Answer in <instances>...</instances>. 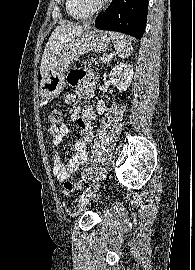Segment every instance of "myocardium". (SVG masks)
Masks as SVG:
<instances>
[{
	"label": "myocardium",
	"instance_id": "myocardium-1",
	"mask_svg": "<svg viewBox=\"0 0 195 270\" xmlns=\"http://www.w3.org/2000/svg\"><path fill=\"white\" fill-rule=\"evenodd\" d=\"M77 1L82 9L91 12L93 14L99 11L107 3L108 0H100L99 2L96 3H91L90 0H77Z\"/></svg>",
	"mask_w": 195,
	"mask_h": 270
}]
</instances>
